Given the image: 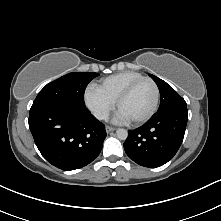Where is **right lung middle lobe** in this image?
<instances>
[{"mask_svg": "<svg viewBox=\"0 0 221 221\" xmlns=\"http://www.w3.org/2000/svg\"><path fill=\"white\" fill-rule=\"evenodd\" d=\"M98 73L72 72L47 84L37 95L30 111L49 104L70 103L84 104V92L88 83Z\"/></svg>", "mask_w": 221, "mask_h": 221, "instance_id": "dd1d6c3e", "label": "right lung middle lobe"}]
</instances>
